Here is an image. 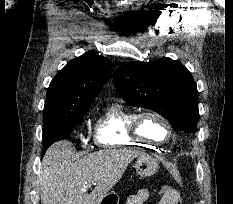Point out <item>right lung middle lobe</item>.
<instances>
[{"instance_id":"1","label":"right lung middle lobe","mask_w":233,"mask_h":204,"mask_svg":"<svg viewBox=\"0 0 233 204\" xmlns=\"http://www.w3.org/2000/svg\"><path fill=\"white\" fill-rule=\"evenodd\" d=\"M87 110L65 115L59 118L43 120V138H44V148H48L51 144L56 141L63 140L68 137L73 129V127L80 123Z\"/></svg>"}]
</instances>
